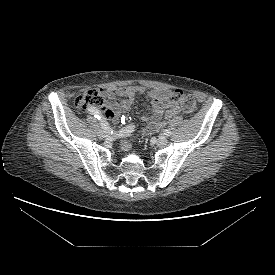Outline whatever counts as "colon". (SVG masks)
<instances>
[{
    "label": "colon",
    "instance_id": "5ec220e1",
    "mask_svg": "<svg viewBox=\"0 0 275 275\" xmlns=\"http://www.w3.org/2000/svg\"><path fill=\"white\" fill-rule=\"evenodd\" d=\"M172 99L181 105L183 111L187 115L191 116L195 113L196 101L190 93L183 90H176L172 92ZM75 105L81 109L96 107L104 110L107 105V101L100 91L90 89L82 92L76 97Z\"/></svg>",
    "mask_w": 275,
    "mask_h": 275
}]
</instances>
